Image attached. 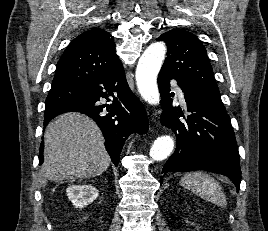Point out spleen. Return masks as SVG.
<instances>
[{
	"mask_svg": "<svg viewBox=\"0 0 268 231\" xmlns=\"http://www.w3.org/2000/svg\"><path fill=\"white\" fill-rule=\"evenodd\" d=\"M180 185L191 190L196 195L218 206L227 205L226 196L219 183L203 172H191L180 180Z\"/></svg>",
	"mask_w": 268,
	"mask_h": 231,
	"instance_id": "spleen-1",
	"label": "spleen"
}]
</instances>
